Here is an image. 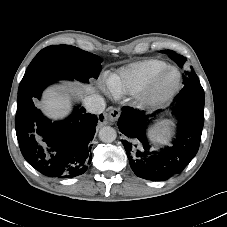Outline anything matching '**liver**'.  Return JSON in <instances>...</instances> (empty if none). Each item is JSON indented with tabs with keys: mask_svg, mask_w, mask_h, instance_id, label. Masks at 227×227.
<instances>
[{
	"mask_svg": "<svg viewBox=\"0 0 227 227\" xmlns=\"http://www.w3.org/2000/svg\"><path fill=\"white\" fill-rule=\"evenodd\" d=\"M70 84L79 85L80 88H75V92L84 97L95 92V89L90 85L79 82H71ZM40 107L50 118H62L70 111V103L67 95L56 88H49L44 92L43 102Z\"/></svg>",
	"mask_w": 227,
	"mask_h": 227,
	"instance_id": "6515ba94",
	"label": "liver"
}]
</instances>
